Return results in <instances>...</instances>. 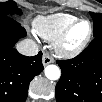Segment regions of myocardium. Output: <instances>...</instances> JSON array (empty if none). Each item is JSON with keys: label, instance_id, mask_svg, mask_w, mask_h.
I'll return each instance as SVG.
<instances>
[{"label": "myocardium", "instance_id": "myocardium-1", "mask_svg": "<svg viewBox=\"0 0 102 102\" xmlns=\"http://www.w3.org/2000/svg\"><path fill=\"white\" fill-rule=\"evenodd\" d=\"M80 23H85L87 25V34L84 37V39L79 42L76 46L73 48H67L66 44L68 40L70 39V36L75 29L77 25ZM91 36V27L88 21L80 19L75 21L73 24H71L67 29H65L55 40H53V48L55 52L62 56L63 58H73L76 55H78L88 44L89 39Z\"/></svg>", "mask_w": 102, "mask_h": 102}]
</instances>
